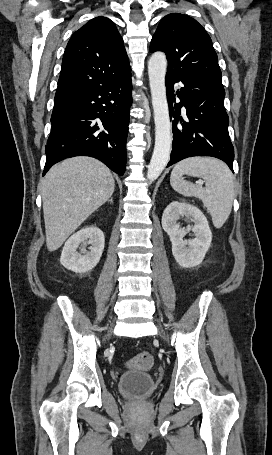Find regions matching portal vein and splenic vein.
<instances>
[{"mask_svg": "<svg viewBox=\"0 0 272 455\" xmlns=\"http://www.w3.org/2000/svg\"><path fill=\"white\" fill-rule=\"evenodd\" d=\"M203 183H204L203 181H199V182H198V184H200V185H203Z\"/></svg>", "mask_w": 272, "mask_h": 455, "instance_id": "18ae733b", "label": "portal vein and splenic vein"}]
</instances>
